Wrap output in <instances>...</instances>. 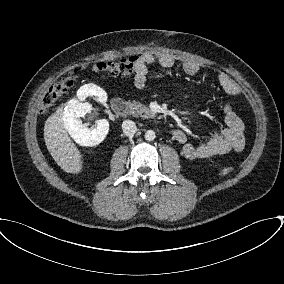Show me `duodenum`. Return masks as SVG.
<instances>
[{"instance_id":"duodenum-1","label":"duodenum","mask_w":284,"mask_h":284,"mask_svg":"<svg viewBox=\"0 0 284 284\" xmlns=\"http://www.w3.org/2000/svg\"><path fill=\"white\" fill-rule=\"evenodd\" d=\"M111 109L115 114L119 116H126L129 113L128 104L120 98L112 99ZM172 135H174V131L172 132Z\"/></svg>"}]
</instances>
